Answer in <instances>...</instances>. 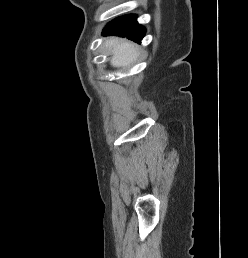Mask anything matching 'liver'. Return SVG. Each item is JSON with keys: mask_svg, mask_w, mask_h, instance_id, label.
<instances>
[{"mask_svg": "<svg viewBox=\"0 0 248 258\" xmlns=\"http://www.w3.org/2000/svg\"><path fill=\"white\" fill-rule=\"evenodd\" d=\"M105 47L111 52V65L113 67H127L138 57V48L123 39L111 37L105 40Z\"/></svg>", "mask_w": 248, "mask_h": 258, "instance_id": "6515ba94", "label": "liver"}]
</instances>
